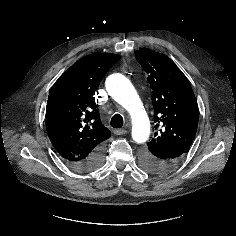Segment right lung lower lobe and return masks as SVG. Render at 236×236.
<instances>
[{
	"label": "right lung lower lobe",
	"instance_id": "right-lung-lower-lobe-1",
	"mask_svg": "<svg viewBox=\"0 0 236 236\" xmlns=\"http://www.w3.org/2000/svg\"><path fill=\"white\" fill-rule=\"evenodd\" d=\"M72 169L80 172H91L101 166L104 160L103 145L97 147L88 157L81 160H70L62 158Z\"/></svg>",
	"mask_w": 236,
	"mask_h": 236
}]
</instances>
